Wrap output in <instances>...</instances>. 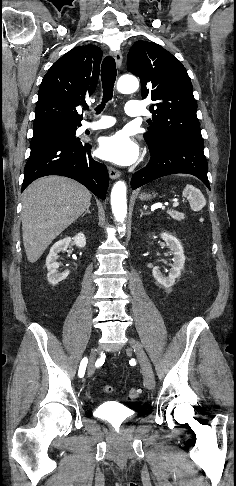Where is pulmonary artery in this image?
<instances>
[{"instance_id": "e3ab8cb5", "label": "pulmonary artery", "mask_w": 236, "mask_h": 486, "mask_svg": "<svg viewBox=\"0 0 236 486\" xmlns=\"http://www.w3.org/2000/svg\"><path fill=\"white\" fill-rule=\"evenodd\" d=\"M125 112L127 115L136 117L144 114V109L139 101L130 100L126 103ZM115 123V120L109 116H102L96 121H84L79 128L80 132L95 131L111 127Z\"/></svg>"}]
</instances>
